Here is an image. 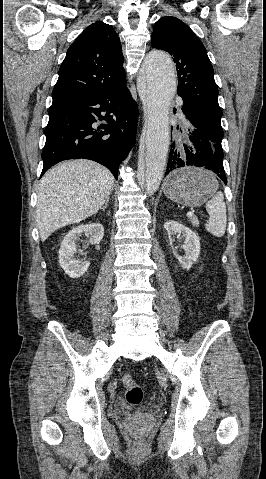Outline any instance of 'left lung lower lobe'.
<instances>
[{"label":"left lung lower lobe","mask_w":266,"mask_h":479,"mask_svg":"<svg viewBox=\"0 0 266 479\" xmlns=\"http://www.w3.org/2000/svg\"><path fill=\"white\" fill-rule=\"evenodd\" d=\"M182 112L186 116L188 127L184 130L183 141L172 142L166 175L180 167L197 166L213 171L227 184L223 167L224 154L217 150L218 144L211 140L202 124L184 105Z\"/></svg>","instance_id":"0a47b994"}]
</instances>
